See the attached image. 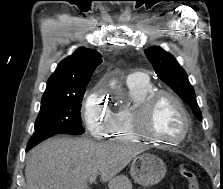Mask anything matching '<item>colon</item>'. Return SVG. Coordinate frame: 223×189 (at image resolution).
Masks as SVG:
<instances>
[{"label":"colon","mask_w":223,"mask_h":189,"mask_svg":"<svg viewBox=\"0 0 223 189\" xmlns=\"http://www.w3.org/2000/svg\"><path fill=\"white\" fill-rule=\"evenodd\" d=\"M181 175L186 180L188 189H200L199 178L195 170L190 167H183Z\"/></svg>","instance_id":"colon-1"}]
</instances>
